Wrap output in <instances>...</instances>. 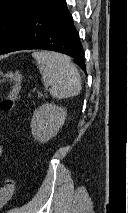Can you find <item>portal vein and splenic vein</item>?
Wrapping results in <instances>:
<instances>
[{
  "label": "portal vein and splenic vein",
  "instance_id": "18ae733b",
  "mask_svg": "<svg viewBox=\"0 0 128 213\" xmlns=\"http://www.w3.org/2000/svg\"><path fill=\"white\" fill-rule=\"evenodd\" d=\"M48 88V85H45V89ZM42 94L41 93H38V97H40Z\"/></svg>",
  "mask_w": 128,
  "mask_h": 213
}]
</instances>
